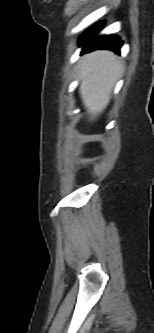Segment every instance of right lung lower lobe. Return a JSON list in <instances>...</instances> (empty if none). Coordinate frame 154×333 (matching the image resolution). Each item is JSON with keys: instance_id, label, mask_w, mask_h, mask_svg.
Segmentation results:
<instances>
[{"instance_id": "98d812e1", "label": "right lung lower lobe", "mask_w": 154, "mask_h": 333, "mask_svg": "<svg viewBox=\"0 0 154 333\" xmlns=\"http://www.w3.org/2000/svg\"><path fill=\"white\" fill-rule=\"evenodd\" d=\"M103 24V22H99L82 35L79 44L83 46V53L98 49H107L119 53L122 46L120 38L114 36H96L103 27Z\"/></svg>"}]
</instances>
